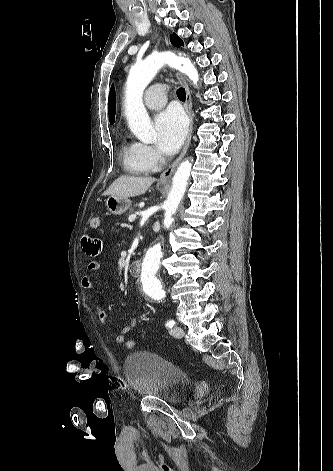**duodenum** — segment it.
I'll use <instances>...</instances> for the list:
<instances>
[{
    "label": "duodenum",
    "instance_id": "1",
    "mask_svg": "<svg viewBox=\"0 0 333 471\" xmlns=\"http://www.w3.org/2000/svg\"><path fill=\"white\" fill-rule=\"evenodd\" d=\"M128 270L132 276H138L142 270V262L140 260L131 262L129 264Z\"/></svg>",
    "mask_w": 333,
    "mask_h": 471
}]
</instances>
